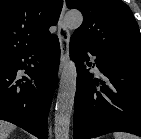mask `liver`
I'll list each match as a JSON object with an SVG mask.
<instances>
[{"label": "liver", "mask_w": 141, "mask_h": 139, "mask_svg": "<svg viewBox=\"0 0 141 139\" xmlns=\"http://www.w3.org/2000/svg\"><path fill=\"white\" fill-rule=\"evenodd\" d=\"M15 128V125L12 123L0 120V139H7Z\"/></svg>", "instance_id": "6515ba94"}]
</instances>
